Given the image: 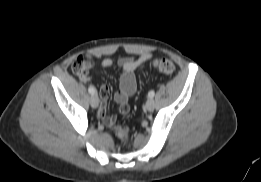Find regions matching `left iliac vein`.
Masks as SVG:
<instances>
[{"label": "left iliac vein", "mask_w": 261, "mask_h": 182, "mask_svg": "<svg viewBox=\"0 0 261 182\" xmlns=\"http://www.w3.org/2000/svg\"><path fill=\"white\" fill-rule=\"evenodd\" d=\"M155 107V103L154 100L152 98L148 99L146 104H145V108L147 111H153Z\"/></svg>", "instance_id": "1"}]
</instances>
